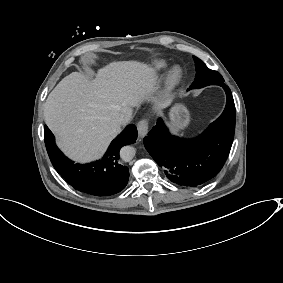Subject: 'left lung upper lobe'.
Masks as SVG:
<instances>
[{
  "instance_id": "1",
  "label": "left lung upper lobe",
  "mask_w": 283,
  "mask_h": 283,
  "mask_svg": "<svg viewBox=\"0 0 283 283\" xmlns=\"http://www.w3.org/2000/svg\"><path fill=\"white\" fill-rule=\"evenodd\" d=\"M196 64V77L189 89L201 88L208 85H223V77L214 70L209 69L202 60L194 56Z\"/></svg>"
}]
</instances>
